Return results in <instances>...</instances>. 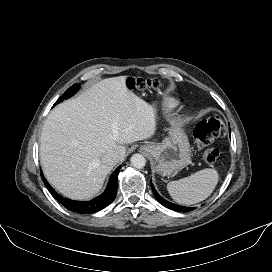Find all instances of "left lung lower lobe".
Masks as SVG:
<instances>
[{
	"instance_id": "1",
	"label": "left lung lower lobe",
	"mask_w": 272,
	"mask_h": 272,
	"mask_svg": "<svg viewBox=\"0 0 272 272\" xmlns=\"http://www.w3.org/2000/svg\"><path fill=\"white\" fill-rule=\"evenodd\" d=\"M151 187H152V191L156 197V199L158 200L159 203H161L163 206L171 209V210H175V211H179V212H186V211H192L194 208L193 207H185V206H180V205H176L173 204L171 202L166 201L165 199H163L155 190L153 184L150 182Z\"/></svg>"
}]
</instances>
